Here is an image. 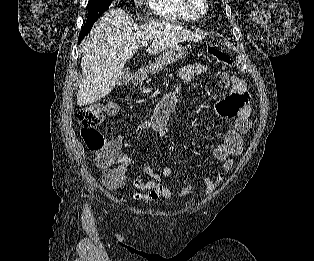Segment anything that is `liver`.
I'll return each mask as SVG.
<instances>
[{"mask_svg":"<svg viewBox=\"0 0 314 261\" xmlns=\"http://www.w3.org/2000/svg\"><path fill=\"white\" fill-rule=\"evenodd\" d=\"M200 39L201 35L174 23L151 21L139 26L122 9L105 12L94 25L93 38L84 42L77 104L86 106L108 95L142 42L149 41L148 53L157 55L180 42Z\"/></svg>","mask_w":314,"mask_h":261,"instance_id":"liver-1","label":"liver"}]
</instances>
